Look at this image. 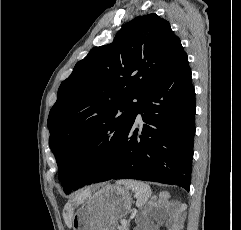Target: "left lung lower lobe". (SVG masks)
Instances as JSON below:
<instances>
[{
	"instance_id": "obj_1",
	"label": "left lung lower lobe",
	"mask_w": 241,
	"mask_h": 230,
	"mask_svg": "<svg viewBox=\"0 0 241 230\" xmlns=\"http://www.w3.org/2000/svg\"><path fill=\"white\" fill-rule=\"evenodd\" d=\"M195 90L183 53L141 99L116 142L97 141L73 166V189L110 179H137L190 190L195 135ZM142 114L144 124L135 128ZM140 131V136L138 132Z\"/></svg>"
}]
</instances>
